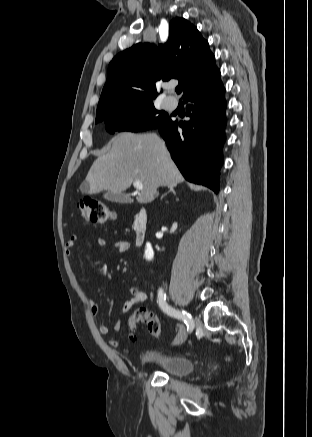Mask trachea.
I'll list each match as a JSON object with an SVG mask.
<instances>
[{"label":"trachea","instance_id":"1","mask_svg":"<svg viewBox=\"0 0 312 437\" xmlns=\"http://www.w3.org/2000/svg\"><path fill=\"white\" fill-rule=\"evenodd\" d=\"M175 90H176V92H177L178 94H180V93H181V87H179V86H178V87H176V89H175Z\"/></svg>","mask_w":312,"mask_h":437}]
</instances>
